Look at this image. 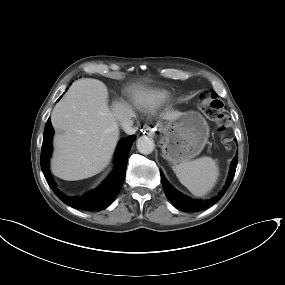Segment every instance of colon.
<instances>
[{"label": "colon", "instance_id": "5ec220e1", "mask_svg": "<svg viewBox=\"0 0 285 285\" xmlns=\"http://www.w3.org/2000/svg\"><path fill=\"white\" fill-rule=\"evenodd\" d=\"M201 101L205 115L209 119L215 121L218 124L219 129H223L224 118L221 110L222 102L217 99L211 100L207 98L205 95L201 96Z\"/></svg>", "mask_w": 285, "mask_h": 285}]
</instances>
